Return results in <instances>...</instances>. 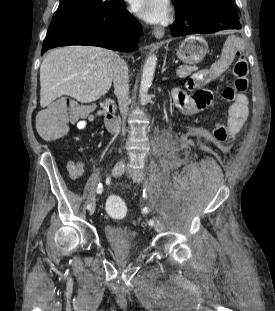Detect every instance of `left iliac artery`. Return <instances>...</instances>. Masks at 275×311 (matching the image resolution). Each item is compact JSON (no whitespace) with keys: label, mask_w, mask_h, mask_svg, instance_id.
Returning a JSON list of instances; mask_svg holds the SVG:
<instances>
[{"label":"left iliac artery","mask_w":275,"mask_h":311,"mask_svg":"<svg viewBox=\"0 0 275 311\" xmlns=\"http://www.w3.org/2000/svg\"><path fill=\"white\" fill-rule=\"evenodd\" d=\"M153 223H154L153 220H150V221H149V224H150V225H152Z\"/></svg>","instance_id":"44dca946"}]
</instances>
